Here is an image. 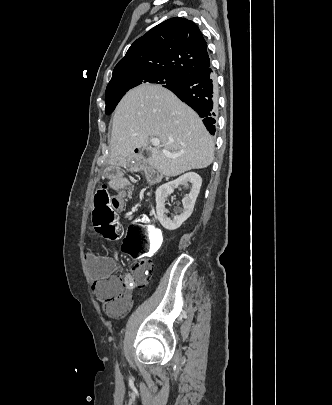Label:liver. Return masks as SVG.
Here are the masks:
<instances>
[{
	"label": "liver",
	"instance_id": "liver-1",
	"mask_svg": "<svg viewBox=\"0 0 332 405\" xmlns=\"http://www.w3.org/2000/svg\"><path fill=\"white\" fill-rule=\"evenodd\" d=\"M151 138L174 156L152 148ZM109 146L110 162L121 166L136 148L150 151L148 164L168 177L206 168L214 159V143L202 119L160 85H142L125 94L114 112Z\"/></svg>",
	"mask_w": 332,
	"mask_h": 405
}]
</instances>
